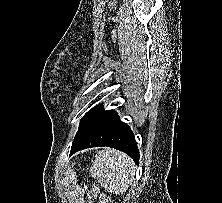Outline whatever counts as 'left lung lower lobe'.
I'll list each match as a JSON object with an SVG mask.
<instances>
[{"label": "left lung lower lobe", "mask_w": 222, "mask_h": 203, "mask_svg": "<svg viewBox=\"0 0 222 203\" xmlns=\"http://www.w3.org/2000/svg\"><path fill=\"white\" fill-rule=\"evenodd\" d=\"M96 146L118 149L139 163V150L130 127L120 120L114 110L104 111L103 106L84 130L74 138L70 156L79 150Z\"/></svg>", "instance_id": "obj_1"}]
</instances>
